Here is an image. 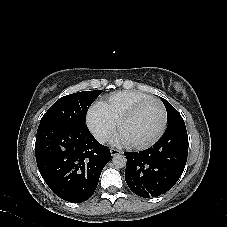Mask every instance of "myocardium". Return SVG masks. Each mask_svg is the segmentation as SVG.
Wrapping results in <instances>:
<instances>
[{"label": "myocardium", "mask_w": 227, "mask_h": 227, "mask_svg": "<svg viewBox=\"0 0 227 227\" xmlns=\"http://www.w3.org/2000/svg\"><path fill=\"white\" fill-rule=\"evenodd\" d=\"M149 102H156L160 105V107L162 109V124H161L159 130L157 131V133L150 140L143 142V143L130 144V146L132 148L142 150V149H147V148L153 146L156 142H158L160 140V138L163 136V134L167 128L168 112H167L165 104L158 98L149 97V98L137 103L136 105H134L130 110H128L125 114H123L120 117V119L117 122L118 132L120 133L122 127L128 121H130L145 104H147Z\"/></svg>", "instance_id": "obj_1"}]
</instances>
